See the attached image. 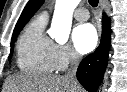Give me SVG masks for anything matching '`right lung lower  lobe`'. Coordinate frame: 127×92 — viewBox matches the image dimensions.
Instances as JSON below:
<instances>
[{"label": "right lung lower lobe", "mask_w": 127, "mask_h": 92, "mask_svg": "<svg viewBox=\"0 0 127 92\" xmlns=\"http://www.w3.org/2000/svg\"><path fill=\"white\" fill-rule=\"evenodd\" d=\"M110 19L104 15L102 19V37L100 46L94 54L85 57L78 68L77 78L89 92H96L105 72L110 46Z\"/></svg>", "instance_id": "obj_1"}]
</instances>
